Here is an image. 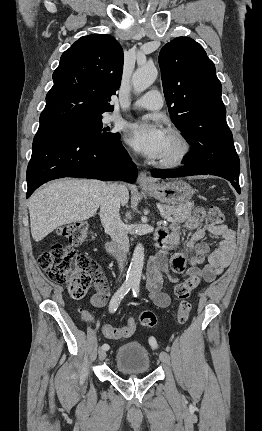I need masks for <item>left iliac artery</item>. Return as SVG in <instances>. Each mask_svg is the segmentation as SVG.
<instances>
[{
  "instance_id": "left-iliac-artery-1",
  "label": "left iliac artery",
  "mask_w": 262,
  "mask_h": 431,
  "mask_svg": "<svg viewBox=\"0 0 262 431\" xmlns=\"http://www.w3.org/2000/svg\"><path fill=\"white\" fill-rule=\"evenodd\" d=\"M132 292L133 295L136 297L137 294L139 293V282H134L132 285ZM156 344V342H154Z\"/></svg>"
}]
</instances>
